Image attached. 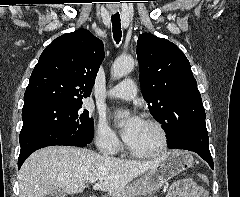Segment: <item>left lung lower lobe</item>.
I'll list each match as a JSON object with an SVG mask.
<instances>
[{"mask_svg": "<svg viewBox=\"0 0 240 197\" xmlns=\"http://www.w3.org/2000/svg\"><path fill=\"white\" fill-rule=\"evenodd\" d=\"M205 117L202 103H194L185 112L172 117L167 123V143L171 149L196 152L213 169Z\"/></svg>", "mask_w": 240, "mask_h": 197, "instance_id": "0a47b994", "label": "left lung lower lobe"}]
</instances>
